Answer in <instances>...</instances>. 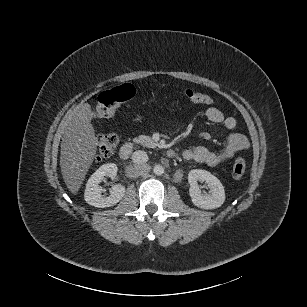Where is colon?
Masks as SVG:
<instances>
[{
	"label": "colon",
	"mask_w": 307,
	"mask_h": 307,
	"mask_svg": "<svg viewBox=\"0 0 307 307\" xmlns=\"http://www.w3.org/2000/svg\"><path fill=\"white\" fill-rule=\"evenodd\" d=\"M135 96V88L131 84H122L110 88L99 95L98 105L93 112L95 120H102L111 117L118 107ZM184 97L187 101L196 104L211 105L214 103L212 97L207 94L186 90ZM119 144L117 133L111 132L99 135L97 139V160H104L110 157ZM246 172V161L238 157L232 168V177L239 180L244 177Z\"/></svg>",
	"instance_id": "colon-1"
}]
</instances>
